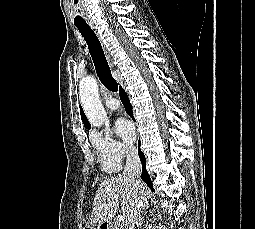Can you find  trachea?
<instances>
[{"instance_id": "trachea-1", "label": "trachea", "mask_w": 255, "mask_h": 229, "mask_svg": "<svg viewBox=\"0 0 255 229\" xmlns=\"http://www.w3.org/2000/svg\"><path fill=\"white\" fill-rule=\"evenodd\" d=\"M75 26L86 41L97 75L102 84L113 92H117L118 84L112 77L102 45L91 27L86 23H75Z\"/></svg>"}]
</instances>
